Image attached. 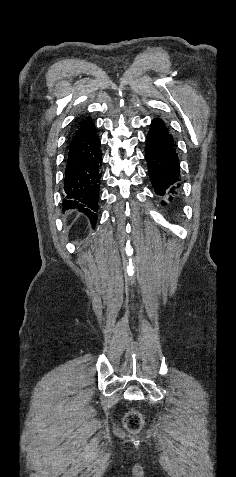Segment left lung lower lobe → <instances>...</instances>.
<instances>
[{
	"label": "left lung lower lobe",
	"mask_w": 236,
	"mask_h": 477,
	"mask_svg": "<svg viewBox=\"0 0 236 477\" xmlns=\"http://www.w3.org/2000/svg\"><path fill=\"white\" fill-rule=\"evenodd\" d=\"M145 157L152 185L161 196L162 205L174 207L181 186L180 165L176 143L160 118L152 121L146 137Z\"/></svg>",
	"instance_id": "obj_1"
}]
</instances>
